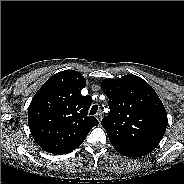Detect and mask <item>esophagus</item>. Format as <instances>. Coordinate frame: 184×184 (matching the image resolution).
<instances>
[{
  "instance_id": "1",
  "label": "esophagus",
  "mask_w": 184,
  "mask_h": 184,
  "mask_svg": "<svg viewBox=\"0 0 184 184\" xmlns=\"http://www.w3.org/2000/svg\"><path fill=\"white\" fill-rule=\"evenodd\" d=\"M96 118H97V120H98L99 123H100V122H101V119H102V113L96 114Z\"/></svg>"
}]
</instances>
